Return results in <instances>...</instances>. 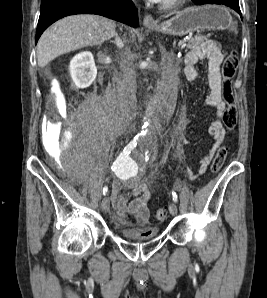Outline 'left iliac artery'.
<instances>
[{
	"label": "left iliac artery",
	"mask_w": 267,
	"mask_h": 298,
	"mask_svg": "<svg viewBox=\"0 0 267 298\" xmlns=\"http://www.w3.org/2000/svg\"><path fill=\"white\" fill-rule=\"evenodd\" d=\"M172 198H173V201L176 203L177 200H178V197H177V194L175 192H172Z\"/></svg>",
	"instance_id": "1"
}]
</instances>
